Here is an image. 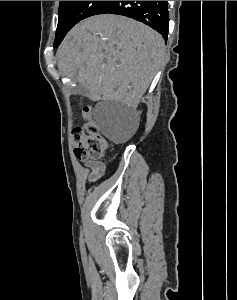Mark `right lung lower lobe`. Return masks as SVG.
Masks as SVG:
<instances>
[{"instance_id":"1","label":"right lung lower lobe","mask_w":237,"mask_h":300,"mask_svg":"<svg viewBox=\"0 0 237 300\" xmlns=\"http://www.w3.org/2000/svg\"><path fill=\"white\" fill-rule=\"evenodd\" d=\"M124 15L150 26L167 40L169 12L167 1H108L97 14Z\"/></svg>"}]
</instances>
